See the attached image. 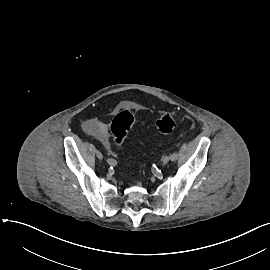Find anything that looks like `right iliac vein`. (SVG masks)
I'll list each match as a JSON object with an SVG mask.
<instances>
[{"label": "right iliac vein", "mask_w": 270, "mask_h": 270, "mask_svg": "<svg viewBox=\"0 0 270 270\" xmlns=\"http://www.w3.org/2000/svg\"><path fill=\"white\" fill-rule=\"evenodd\" d=\"M96 156H97V158L100 159V160L103 159L102 153H101L100 151H98V150L96 151Z\"/></svg>", "instance_id": "63e3f726"}]
</instances>
